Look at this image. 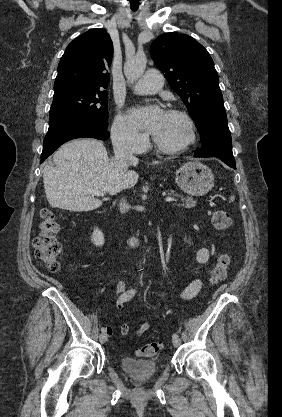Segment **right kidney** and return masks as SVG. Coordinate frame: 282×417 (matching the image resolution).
Returning <instances> with one entry per match:
<instances>
[{
  "label": "right kidney",
  "instance_id": "obj_1",
  "mask_svg": "<svg viewBox=\"0 0 282 417\" xmlns=\"http://www.w3.org/2000/svg\"><path fill=\"white\" fill-rule=\"evenodd\" d=\"M91 241L94 245H97V247H102V245H104V235L100 229H94Z\"/></svg>",
  "mask_w": 282,
  "mask_h": 417
}]
</instances>
